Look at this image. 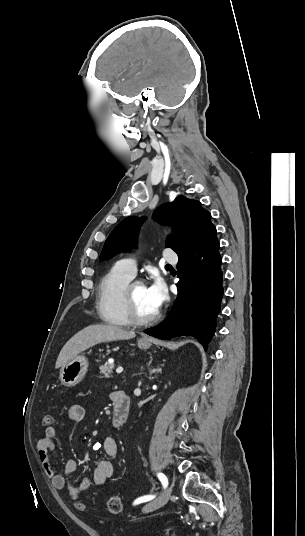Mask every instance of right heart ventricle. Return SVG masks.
I'll return each instance as SVG.
<instances>
[{"instance_id": "1", "label": "right heart ventricle", "mask_w": 305, "mask_h": 536, "mask_svg": "<svg viewBox=\"0 0 305 536\" xmlns=\"http://www.w3.org/2000/svg\"><path fill=\"white\" fill-rule=\"evenodd\" d=\"M132 278L120 271L117 266L112 268L101 280L96 309L101 320L120 327L130 326L132 322L123 305V291Z\"/></svg>"}]
</instances>
